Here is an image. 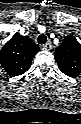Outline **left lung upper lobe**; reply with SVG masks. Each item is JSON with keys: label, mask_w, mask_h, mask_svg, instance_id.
<instances>
[{"label": "left lung upper lobe", "mask_w": 81, "mask_h": 124, "mask_svg": "<svg viewBox=\"0 0 81 124\" xmlns=\"http://www.w3.org/2000/svg\"><path fill=\"white\" fill-rule=\"evenodd\" d=\"M55 59L59 69L72 78L81 75V44L72 35H67L56 48Z\"/></svg>", "instance_id": "5c2ea615"}]
</instances>
